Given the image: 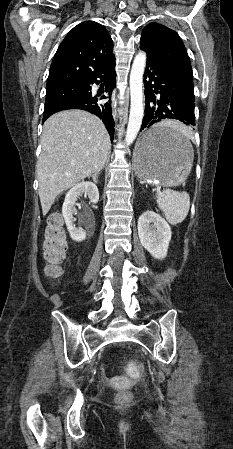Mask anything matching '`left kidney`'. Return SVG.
<instances>
[{
    "label": "left kidney",
    "mask_w": 233,
    "mask_h": 449,
    "mask_svg": "<svg viewBox=\"0 0 233 449\" xmlns=\"http://www.w3.org/2000/svg\"><path fill=\"white\" fill-rule=\"evenodd\" d=\"M138 235L142 246L156 259H164L171 240L169 224L153 211L144 212L138 219Z\"/></svg>",
    "instance_id": "1"
}]
</instances>
